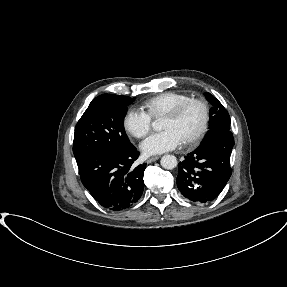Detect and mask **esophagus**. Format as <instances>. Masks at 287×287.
Listing matches in <instances>:
<instances>
[{"label": "esophagus", "mask_w": 287, "mask_h": 287, "mask_svg": "<svg viewBox=\"0 0 287 287\" xmlns=\"http://www.w3.org/2000/svg\"><path fill=\"white\" fill-rule=\"evenodd\" d=\"M159 158H160L159 155H157V156H152V157H150V158L147 159V163H152V162L158 160Z\"/></svg>", "instance_id": "34e87169"}]
</instances>
